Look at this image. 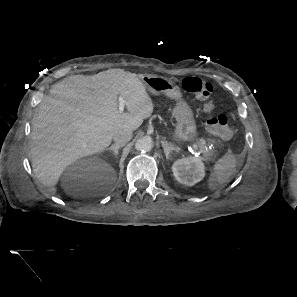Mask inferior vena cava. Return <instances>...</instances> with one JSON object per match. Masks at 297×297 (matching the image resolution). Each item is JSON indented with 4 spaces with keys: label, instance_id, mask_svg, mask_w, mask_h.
Listing matches in <instances>:
<instances>
[{
    "label": "inferior vena cava",
    "instance_id": "obj_1",
    "mask_svg": "<svg viewBox=\"0 0 297 297\" xmlns=\"http://www.w3.org/2000/svg\"><path fill=\"white\" fill-rule=\"evenodd\" d=\"M132 138V131L129 129L119 130L115 133L113 139L117 146L123 147Z\"/></svg>",
    "mask_w": 297,
    "mask_h": 297
}]
</instances>
